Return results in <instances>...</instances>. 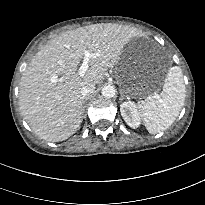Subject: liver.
Instances as JSON below:
<instances>
[{"label": "liver", "instance_id": "6515ba94", "mask_svg": "<svg viewBox=\"0 0 205 205\" xmlns=\"http://www.w3.org/2000/svg\"><path fill=\"white\" fill-rule=\"evenodd\" d=\"M132 29L117 24H92L67 31L46 43L32 58L19 85L21 113L40 138L59 142L74 134L81 123V88L98 84L107 68L118 63ZM89 50L90 68H77Z\"/></svg>", "mask_w": 205, "mask_h": 205}]
</instances>
